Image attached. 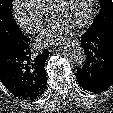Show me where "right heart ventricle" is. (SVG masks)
<instances>
[{"mask_svg":"<svg viewBox=\"0 0 113 113\" xmlns=\"http://www.w3.org/2000/svg\"><path fill=\"white\" fill-rule=\"evenodd\" d=\"M25 1L40 13L47 15L48 8L52 0H25Z\"/></svg>","mask_w":113,"mask_h":113,"instance_id":"obj_1","label":"right heart ventricle"}]
</instances>
